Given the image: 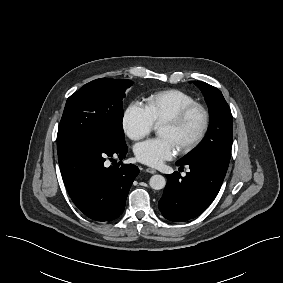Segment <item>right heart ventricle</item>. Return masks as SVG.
<instances>
[{
  "label": "right heart ventricle",
  "mask_w": 283,
  "mask_h": 283,
  "mask_svg": "<svg viewBox=\"0 0 283 283\" xmlns=\"http://www.w3.org/2000/svg\"><path fill=\"white\" fill-rule=\"evenodd\" d=\"M193 102L194 98L185 91L168 89L149 95L145 107L154 124H160Z\"/></svg>",
  "instance_id": "right-heart-ventricle-1"
}]
</instances>
